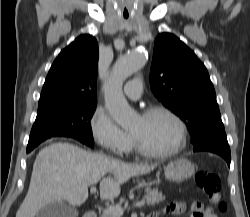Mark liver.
I'll return each instance as SVG.
<instances>
[{
	"label": "liver",
	"mask_w": 250,
	"mask_h": 217,
	"mask_svg": "<svg viewBox=\"0 0 250 217\" xmlns=\"http://www.w3.org/2000/svg\"><path fill=\"white\" fill-rule=\"evenodd\" d=\"M154 168L94 154L70 143L51 144L35 159L29 189L16 217H34L53 202L80 206L88 198V187L99 181L101 199L116 198L121 184ZM106 174L113 176L104 177Z\"/></svg>",
	"instance_id": "liver-1"
}]
</instances>
